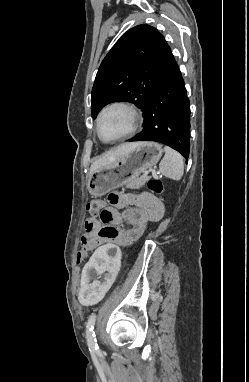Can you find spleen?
I'll return each instance as SVG.
<instances>
[{"instance_id":"3e777b00","label":"spleen","mask_w":249,"mask_h":382,"mask_svg":"<svg viewBox=\"0 0 249 382\" xmlns=\"http://www.w3.org/2000/svg\"><path fill=\"white\" fill-rule=\"evenodd\" d=\"M165 155L159 164L160 172L173 180H180L184 173L183 157L170 147H164Z\"/></svg>"}]
</instances>
